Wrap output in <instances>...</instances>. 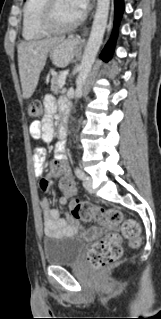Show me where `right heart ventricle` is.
<instances>
[{
    "mask_svg": "<svg viewBox=\"0 0 161 319\" xmlns=\"http://www.w3.org/2000/svg\"><path fill=\"white\" fill-rule=\"evenodd\" d=\"M44 0H27L23 9L22 36L32 41L46 37L48 32L39 23V17Z\"/></svg>",
    "mask_w": 161,
    "mask_h": 319,
    "instance_id": "right-heart-ventricle-1",
    "label": "right heart ventricle"
}]
</instances>
